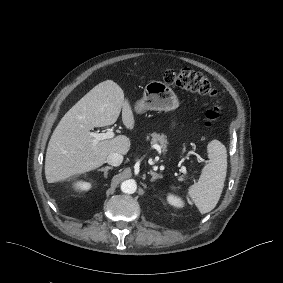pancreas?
<instances>
[{
    "mask_svg": "<svg viewBox=\"0 0 283 283\" xmlns=\"http://www.w3.org/2000/svg\"><path fill=\"white\" fill-rule=\"evenodd\" d=\"M150 137H151L152 145L157 144L161 148L162 152L167 151L168 141H167L166 135L153 132L150 134ZM147 139H150V138L148 137Z\"/></svg>",
    "mask_w": 283,
    "mask_h": 283,
    "instance_id": "1",
    "label": "pancreas"
}]
</instances>
